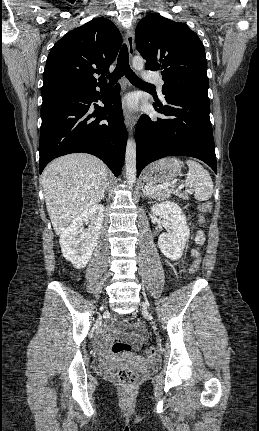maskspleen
I'll use <instances>...</instances> for the list:
<instances>
[{
  "label": "spleen",
  "instance_id": "1",
  "mask_svg": "<svg viewBox=\"0 0 259 431\" xmlns=\"http://www.w3.org/2000/svg\"><path fill=\"white\" fill-rule=\"evenodd\" d=\"M186 164L189 167L185 186L195 192L194 197L198 201H206L213 194V181L209 172L204 167L194 160H187Z\"/></svg>",
  "mask_w": 259,
  "mask_h": 431
}]
</instances>
